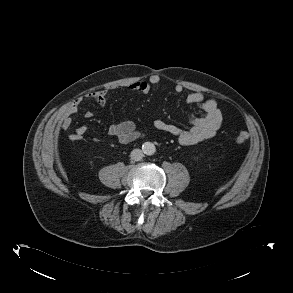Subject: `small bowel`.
Segmentation results:
<instances>
[{
	"label": "small bowel",
	"instance_id": "1",
	"mask_svg": "<svg viewBox=\"0 0 293 293\" xmlns=\"http://www.w3.org/2000/svg\"><path fill=\"white\" fill-rule=\"evenodd\" d=\"M158 75L150 76L149 81H138L132 83L129 89L140 94H148L153 85L159 83ZM176 93H181L183 87L177 84L174 88ZM108 89L104 88L98 91L91 92L85 96L77 97L65 104L56 114L54 122L58 129L67 130L71 127L72 116L79 110L80 104L84 99H92L101 107H104L107 102ZM185 101L187 104H196L203 111L204 115L196 117L191 115L189 123L191 127L184 130L179 126L168 123L162 119L154 121V126L157 130L163 131L178 138V141L183 146H191L202 141L212 138L223 122V114L214 98H207L201 92L189 93ZM92 111H86L84 117L89 119L93 117ZM87 132V126L82 125L76 128L74 132L69 135L71 141H79ZM108 134L114 136L122 144L130 143L141 136L137 130L136 124L131 120H125L116 124H112L108 128Z\"/></svg>",
	"mask_w": 293,
	"mask_h": 293
}]
</instances>
